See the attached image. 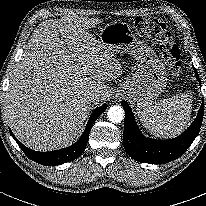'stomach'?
<instances>
[{
	"label": "stomach",
	"instance_id": "obj_1",
	"mask_svg": "<svg viewBox=\"0 0 206 206\" xmlns=\"http://www.w3.org/2000/svg\"><path fill=\"white\" fill-rule=\"evenodd\" d=\"M100 42L114 54L129 53L136 61V71L117 89L118 95L136 103L137 110L155 100L167 85L165 66L154 50L132 32L128 23L107 24L100 33Z\"/></svg>",
	"mask_w": 206,
	"mask_h": 206
}]
</instances>
